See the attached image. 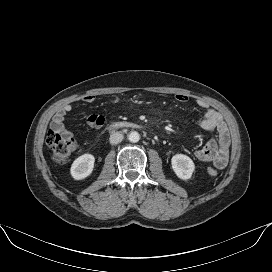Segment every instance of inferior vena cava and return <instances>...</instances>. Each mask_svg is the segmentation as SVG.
Here are the masks:
<instances>
[{"instance_id":"obj_1","label":"inferior vena cava","mask_w":272,"mask_h":272,"mask_svg":"<svg viewBox=\"0 0 272 272\" xmlns=\"http://www.w3.org/2000/svg\"><path fill=\"white\" fill-rule=\"evenodd\" d=\"M110 143L111 144H118L120 143L122 140H123V134L120 133V132H113L111 135H110Z\"/></svg>"}]
</instances>
